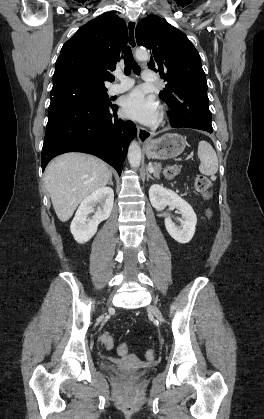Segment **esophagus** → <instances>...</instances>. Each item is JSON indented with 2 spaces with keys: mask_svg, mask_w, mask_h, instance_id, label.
I'll return each instance as SVG.
<instances>
[{
  "mask_svg": "<svg viewBox=\"0 0 264 419\" xmlns=\"http://www.w3.org/2000/svg\"><path fill=\"white\" fill-rule=\"evenodd\" d=\"M137 26L136 20H130L127 23L128 28V44L132 50H134L137 46L136 37H135V30ZM137 129V137L140 143H145L150 139V133L147 129L140 125H136Z\"/></svg>",
  "mask_w": 264,
  "mask_h": 419,
  "instance_id": "esophagus-1",
  "label": "esophagus"
}]
</instances>
